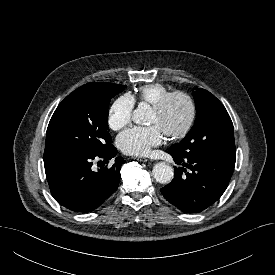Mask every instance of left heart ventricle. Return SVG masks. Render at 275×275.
<instances>
[{
    "instance_id": "1",
    "label": "left heart ventricle",
    "mask_w": 275,
    "mask_h": 275,
    "mask_svg": "<svg viewBox=\"0 0 275 275\" xmlns=\"http://www.w3.org/2000/svg\"><path fill=\"white\" fill-rule=\"evenodd\" d=\"M188 116V107L181 98L173 99L162 113L152 109L149 124L158 125L164 132L181 128Z\"/></svg>"
}]
</instances>
